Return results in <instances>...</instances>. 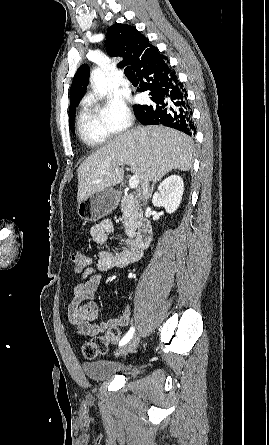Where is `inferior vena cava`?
<instances>
[{
	"label": "inferior vena cava",
	"mask_w": 269,
	"mask_h": 445,
	"mask_svg": "<svg viewBox=\"0 0 269 445\" xmlns=\"http://www.w3.org/2000/svg\"><path fill=\"white\" fill-rule=\"evenodd\" d=\"M148 182H149L148 180H145L143 185H142L143 196H144L145 199H147V197L149 196V183Z\"/></svg>",
	"instance_id": "602c4592"
}]
</instances>
